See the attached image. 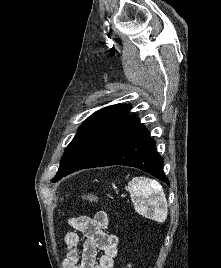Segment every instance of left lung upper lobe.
Wrapping results in <instances>:
<instances>
[{
    "label": "left lung upper lobe",
    "instance_id": "obj_1",
    "mask_svg": "<svg viewBox=\"0 0 221 268\" xmlns=\"http://www.w3.org/2000/svg\"><path fill=\"white\" fill-rule=\"evenodd\" d=\"M131 109L130 105L117 104L105 107L91 115L78 129V133L65 149L60 167L53 182L68 169L78 158L85 148L111 123L127 114Z\"/></svg>",
    "mask_w": 221,
    "mask_h": 268
}]
</instances>
